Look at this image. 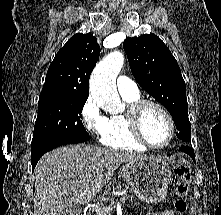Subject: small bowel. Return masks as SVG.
Wrapping results in <instances>:
<instances>
[{
    "mask_svg": "<svg viewBox=\"0 0 221 215\" xmlns=\"http://www.w3.org/2000/svg\"><path fill=\"white\" fill-rule=\"evenodd\" d=\"M148 215H176L172 210H166L162 212L149 213Z\"/></svg>",
    "mask_w": 221,
    "mask_h": 215,
    "instance_id": "1",
    "label": "small bowel"
}]
</instances>
